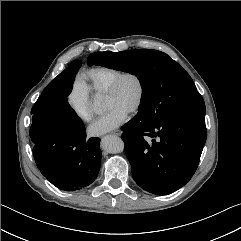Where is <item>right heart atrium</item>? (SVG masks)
Returning <instances> with one entry per match:
<instances>
[{"label":"right heart atrium","instance_id":"obj_1","mask_svg":"<svg viewBox=\"0 0 241 241\" xmlns=\"http://www.w3.org/2000/svg\"><path fill=\"white\" fill-rule=\"evenodd\" d=\"M67 102L74 115L81 121L88 123L93 117V111L90 103V95L86 86L75 81L69 91Z\"/></svg>","mask_w":241,"mask_h":241}]
</instances>
